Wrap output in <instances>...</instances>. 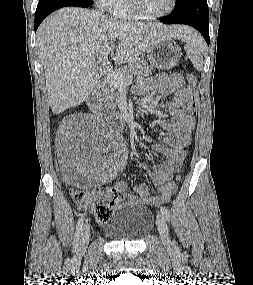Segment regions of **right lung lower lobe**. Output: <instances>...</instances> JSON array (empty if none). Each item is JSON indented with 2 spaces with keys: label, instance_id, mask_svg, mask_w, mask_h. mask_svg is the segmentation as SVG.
<instances>
[{
  "label": "right lung lower lobe",
  "instance_id": "1",
  "mask_svg": "<svg viewBox=\"0 0 253 285\" xmlns=\"http://www.w3.org/2000/svg\"><path fill=\"white\" fill-rule=\"evenodd\" d=\"M91 4L75 2V1H64V0H41L38 3L35 13V32L39 24L53 11L67 6L75 7H88Z\"/></svg>",
  "mask_w": 253,
  "mask_h": 285
}]
</instances>
